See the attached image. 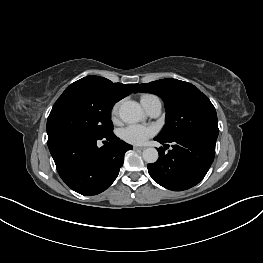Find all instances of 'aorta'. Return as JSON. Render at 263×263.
Here are the masks:
<instances>
[{"mask_svg":"<svg viewBox=\"0 0 263 263\" xmlns=\"http://www.w3.org/2000/svg\"><path fill=\"white\" fill-rule=\"evenodd\" d=\"M119 117L126 123H136L143 118V111L139 103L129 100L121 104ZM142 156L147 163H155L159 157L155 148H146L143 150Z\"/></svg>","mask_w":263,"mask_h":263,"instance_id":"aorta-1","label":"aorta"}]
</instances>
